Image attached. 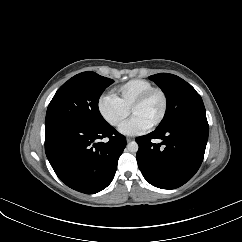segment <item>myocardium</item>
<instances>
[{"label":"myocardium","mask_w":242,"mask_h":242,"mask_svg":"<svg viewBox=\"0 0 242 242\" xmlns=\"http://www.w3.org/2000/svg\"><path fill=\"white\" fill-rule=\"evenodd\" d=\"M154 94H159L161 96L162 110H161V113H160V116L158 117V119L151 126H149L150 129H155L158 126H160L166 117L167 110H168V96H167L166 92L161 88L153 87V88L149 89L148 91L144 92L141 96H139L133 102V104L131 105V108H130V114L132 115L133 111L136 108L143 105Z\"/></svg>","instance_id":"f54148a6"}]
</instances>
